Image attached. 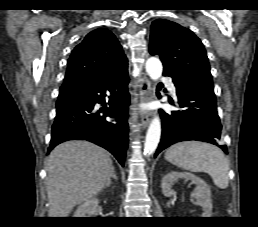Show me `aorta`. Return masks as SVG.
<instances>
[{"label": "aorta", "instance_id": "obj_1", "mask_svg": "<svg viewBox=\"0 0 258 227\" xmlns=\"http://www.w3.org/2000/svg\"><path fill=\"white\" fill-rule=\"evenodd\" d=\"M163 67L161 61L156 57H151L146 61V72L149 77L156 81L162 75ZM161 137V122L158 116L151 121L146 133L144 153L151 155L157 148Z\"/></svg>", "mask_w": 258, "mask_h": 227}]
</instances>
